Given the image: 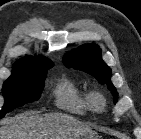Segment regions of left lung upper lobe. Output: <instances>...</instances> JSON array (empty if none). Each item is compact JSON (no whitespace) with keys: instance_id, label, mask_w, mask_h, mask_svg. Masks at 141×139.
<instances>
[{"instance_id":"1","label":"left lung upper lobe","mask_w":141,"mask_h":139,"mask_svg":"<svg viewBox=\"0 0 141 139\" xmlns=\"http://www.w3.org/2000/svg\"><path fill=\"white\" fill-rule=\"evenodd\" d=\"M64 64L89 73L101 84H106L111 91L114 101H117L118 93L113 86L111 69L101 59V49L95 44H86L72 50L64 57Z\"/></svg>"}]
</instances>
